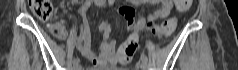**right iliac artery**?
I'll return each mask as SVG.
<instances>
[{"label": "right iliac artery", "mask_w": 238, "mask_h": 70, "mask_svg": "<svg viewBox=\"0 0 238 70\" xmlns=\"http://www.w3.org/2000/svg\"><path fill=\"white\" fill-rule=\"evenodd\" d=\"M112 4H113V0H110L109 5H112ZM78 63H79V58H74L73 64H78Z\"/></svg>", "instance_id": "obj_1"}]
</instances>
